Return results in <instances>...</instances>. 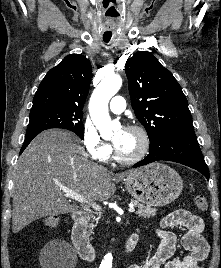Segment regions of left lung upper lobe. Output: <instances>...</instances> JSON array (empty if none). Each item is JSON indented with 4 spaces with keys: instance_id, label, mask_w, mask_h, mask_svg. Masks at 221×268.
Returning a JSON list of instances; mask_svg holds the SVG:
<instances>
[{
    "instance_id": "1",
    "label": "left lung upper lobe",
    "mask_w": 221,
    "mask_h": 268,
    "mask_svg": "<svg viewBox=\"0 0 221 268\" xmlns=\"http://www.w3.org/2000/svg\"><path fill=\"white\" fill-rule=\"evenodd\" d=\"M125 72L132 108L148 133L150 146L173 133L194 131L181 86L152 53H135L126 62Z\"/></svg>"
}]
</instances>
